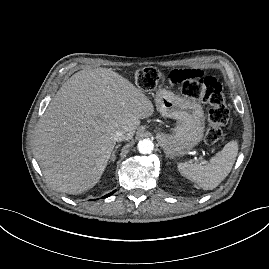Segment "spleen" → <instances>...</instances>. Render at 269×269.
Wrapping results in <instances>:
<instances>
[{
  "label": "spleen",
  "instance_id": "1",
  "mask_svg": "<svg viewBox=\"0 0 269 269\" xmlns=\"http://www.w3.org/2000/svg\"><path fill=\"white\" fill-rule=\"evenodd\" d=\"M238 153V142L232 140L205 165L178 163V171L203 190L216 188L230 173Z\"/></svg>",
  "mask_w": 269,
  "mask_h": 269
}]
</instances>
